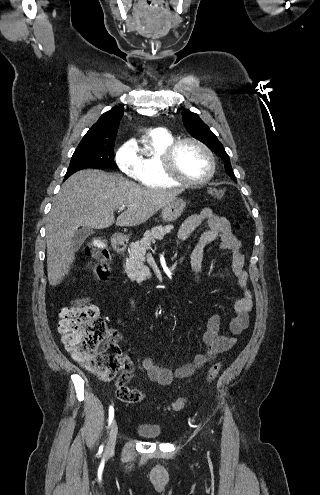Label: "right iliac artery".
I'll use <instances>...</instances> for the list:
<instances>
[{
	"mask_svg": "<svg viewBox=\"0 0 320 495\" xmlns=\"http://www.w3.org/2000/svg\"><path fill=\"white\" fill-rule=\"evenodd\" d=\"M113 417H114V409L112 406H110V408H109V426L112 423ZM101 449H103V446L101 447Z\"/></svg>",
	"mask_w": 320,
	"mask_h": 495,
	"instance_id": "right-iliac-artery-1",
	"label": "right iliac artery"
}]
</instances>
